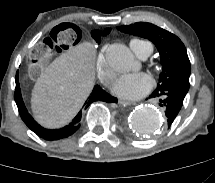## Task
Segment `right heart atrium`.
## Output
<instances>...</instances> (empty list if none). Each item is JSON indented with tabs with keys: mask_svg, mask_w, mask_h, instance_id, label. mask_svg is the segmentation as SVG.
Wrapping results in <instances>:
<instances>
[{
	"mask_svg": "<svg viewBox=\"0 0 215 183\" xmlns=\"http://www.w3.org/2000/svg\"><path fill=\"white\" fill-rule=\"evenodd\" d=\"M104 51L105 48L98 56L96 69L98 77L101 80V82L106 86H110L115 77V73L107 64Z\"/></svg>",
	"mask_w": 215,
	"mask_h": 183,
	"instance_id": "right-heart-atrium-1",
	"label": "right heart atrium"
}]
</instances>
